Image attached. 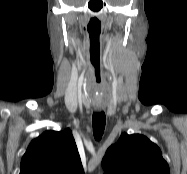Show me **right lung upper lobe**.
<instances>
[{
    "mask_svg": "<svg viewBox=\"0 0 187 174\" xmlns=\"http://www.w3.org/2000/svg\"><path fill=\"white\" fill-rule=\"evenodd\" d=\"M20 174H84L72 133L47 131L29 145Z\"/></svg>",
    "mask_w": 187,
    "mask_h": 174,
    "instance_id": "1",
    "label": "right lung upper lobe"
}]
</instances>
